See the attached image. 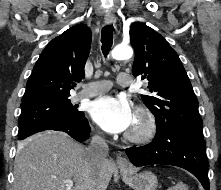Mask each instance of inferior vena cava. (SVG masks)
<instances>
[{
    "label": "inferior vena cava",
    "instance_id": "1",
    "mask_svg": "<svg viewBox=\"0 0 221 190\" xmlns=\"http://www.w3.org/2000/svg\"><path fill=\"white\" fill-rule=\"evenodd\" d=\"M108 151V145L100 135H94L91 138L90 145L86 148V154L90 162L97 166L106 161Z\"/></svg>",
    "mask_w": 221,
    "mask_h": 190
}]
</instances>
